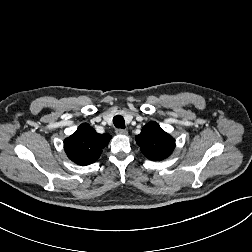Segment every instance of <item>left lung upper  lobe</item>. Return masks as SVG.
<instances>
[{
	"label": "left lung upper lobe",
	"mask_w": 252,
	"mask_h": 252,
	"mask_svg": "<svg viewBox=\"0 0 252 252\" xmlns=\"http://www.w3.org/2000/svg\"><path fill=\"white\" fill-rule=\"evenodd\" d=\"M141 152L150 160L167 158L175 147V140L158 123L151 121L135 137Z\"/></svg>",
	"instance_id": "5c2ea615"
}]
</instances>
